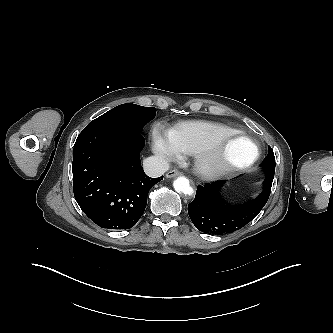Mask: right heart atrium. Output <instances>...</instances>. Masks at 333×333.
<instances>
[{"instance_id": "d8ad5b80", "label": "right heart atrium", "mask_w": 333, "mask_h": 333, "mask_svg": "<svg viewBox=\"0 0 333 333\" xmlns=\"http://www.w3.org/2000/svg\"><path fill=\"white\" fill-rule=\"evenodd\" d=\"M153 151L164 162L174 161L181 155L170 132L165 131L160 126L153 130Z\"/></svg>"}]
</instances>
